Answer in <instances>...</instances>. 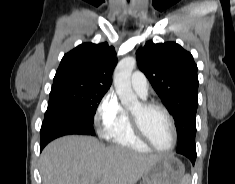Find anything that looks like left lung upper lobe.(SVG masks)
I'll use <instances>...</instances> for the list:
<instances>
[{"mask_svg": "<svg viewBox=\"0 0 235 184\" xmlns=\"http://www.w3.org/2000/svg\"><path fill=\"white\" fill-rule=\"evenodd\" d=\"M136 59L139 69L174 117L178 134L176 152H196L199 82L193 56L175 42L148 41L138 49Z\"/></svg>", "mask_w": 235, "mask_h": 184, "instance_id": "left-lung-upper-lobe-1", "label": "left lung upper lobe"}]
</instances>
